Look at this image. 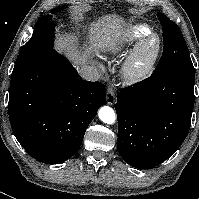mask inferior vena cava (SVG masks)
I'll list each match as a JSON object with an SVG mask.
<instances>
[{
	"instance_id": "602c4592",
	"label": "inferior vena cava",
	"mask_w": 199,
	"mask_h": 199,
	"mask_svg": "<svg viewBox=\"0 0 199 199\" xmlns=\"http://www.w3.org/2000/svg\"><path fill=\"white\" fill-rule=\"evenodd\" d=\"M80 75L84 80L88 81H98L100 79L98 70L91 66H83L80 69Z\"/></svg>"
}]
</instances>
